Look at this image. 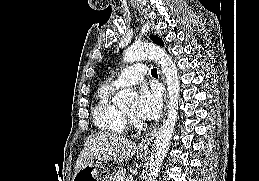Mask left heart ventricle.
<instances>
[{
  "mask_svg": "<svg viewBox=\"0 0 259 181\" xmlns=\"http://www.w3.org/2000/svg\"><path fill=\"white\" fill-rule=\"evenodd\" d=\"M123 111L126 112V113L134 115V105L131 104L129 107L125 108Z\"/></svg>",
  "mask_w": 259,
  "mask_h": 181,
  "instance_id": "left-heart-ventricle-1",
  "label": "left heart ventricle"
}]
</instances>
